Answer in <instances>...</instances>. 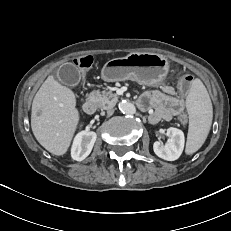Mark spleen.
<instances>
[{
	"instance_id": "spleen-1",
	"label": "spleen",
	"mask_w": 231,
	"mask_h": 231,
	"mask_svg": "<svg viewBox=\"0 0 231 231\" xmlns=\"http://www.w3.org/2000/svg\"><path fill=\"white\" fill-rule=\"evenodd\" d=\"M186 107L189 114L186 153L190 155L195 153L205 142L213 117L209 94L200 79H195L192 82L186 98Z\"/></svg>"
}]
</instances>
